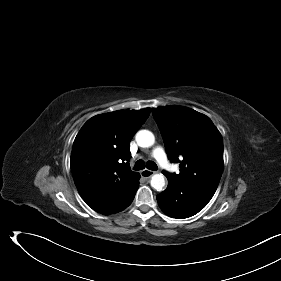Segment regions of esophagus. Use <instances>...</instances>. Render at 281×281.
Masks as SVG:
<instances>
[{"label":"esophagus","mask_w":281,"mask_h":281,"mask_svg":"<svg viewBox=\"0 0 281 281\" xmlns=\"http://www.w3.org/2000/svg\"><path fill=\"white\" fill-rule=\"evenodd\" d=\"M155 174V171L144 169L141 171V176L144 178H150Z\"/></svg>","instance_id":"34e87169"}]
</instances>
